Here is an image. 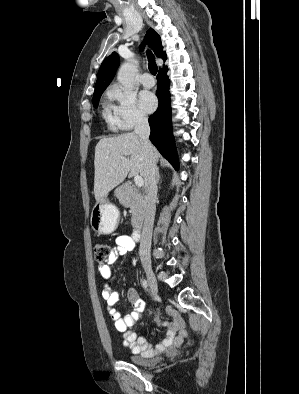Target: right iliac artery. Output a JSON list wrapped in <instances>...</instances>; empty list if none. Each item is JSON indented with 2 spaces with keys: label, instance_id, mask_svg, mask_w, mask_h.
Segmentation results:
<instances>
[{
  "label": "right iliac artery",
  "instance_id": "82829eb1",
  "mask_svg": "<svg viewBox=\"0 0 299 394\" xmlns=\"http://www.w3.org/2000/svg\"><path fill=\"white\" fill-rule=\"evenodd\" d=\"M142 286H143L145 289L148 287V283H147V281H146L145 279L142 281Z\"/></svg>",
  "mask_w": 299,
  "mask_h": 394
}]
</instances>
